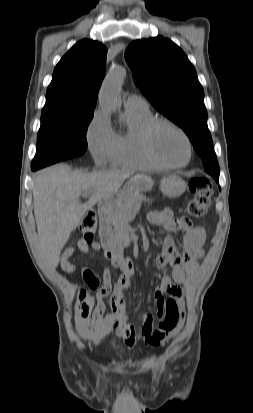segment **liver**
Instances as JSON below:
<instances>
[{
    "label": "liver",
    "mask_w": 253,
    "mask_h": 413,
    "mask_svg": "<svg viewBox=\"0 0 253 413\" xmlns=\"http://www.w3.org/2000/svg\"><path fill=\"white\" fill-rule=\"evenodd\" d=\"M129 173L108 170L94 173L71 171L64 164L41 170L33 189L34 215L39 238V252L49 267L58 266L60 252L70 233L81 223L85 212L101 199L116 194ZM91 191L85 204L82 193Z\"/></svg>",
    "instance_id": "1"
}]
</instances>
